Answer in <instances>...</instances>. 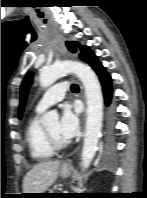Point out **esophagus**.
Returning a JSON list of instances; mask_svg holds the SVG:
<instances>
[{
	"instance_id": "obj_1",
	"label": "esophagus",
	"mask_w": 147,
	"mask_h": 198,
	"mask_svg": "<svg viewBox=\"0 0 147 198\" xmlns=\"http://www.w3.org/2000/svg\"><path fill=\"white\" fill-rule=\"evenodd\" d=\"M71 165V161L70 160H68V161H66L65 163H64V166H70Z\"/></svg>"
}]
</instances>
